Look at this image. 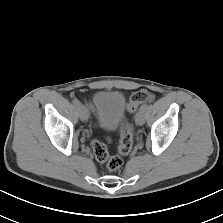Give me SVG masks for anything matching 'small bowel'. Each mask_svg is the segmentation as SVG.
<instances>
[{"label": "small bowel", "instance_id": "c3829d8e", "mask_svg": "<svg viewBox=\"0 0 223 223\" xmlns=\"http://www.w3.org/2000/svg\"><path fill=\"white\" fill-rule=\"evenodd\" d=\"M90 108L93 110V107L92 106H90Z\"/></svg>", "mask_w": 223, "mask_h": 223}]
</instances>
